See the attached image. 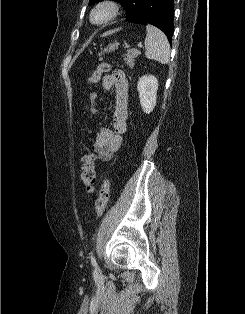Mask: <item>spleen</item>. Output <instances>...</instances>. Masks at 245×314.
Returning <instances> with one entry per match:
<instances>
[{
    "mask_svg": "<svg viewBox=\"0 0 245 314\" xmlns=\"http://www.w3.org/2000/svg\"><path fill=\"white\" fill-rule=\"evenodd\" d=\"M146 30L145 56L161 64H167L170 59V45L166 35L152 25H147Z\"/></svg>",
    "mask_w": 245,
    "mask_h": 314,
    "instance_id": "obj_1",
    "label": "spleen"
}]
</instances>
